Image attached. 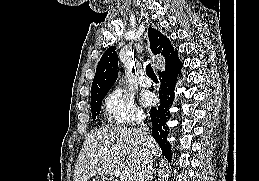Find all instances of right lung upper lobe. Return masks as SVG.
I'll list each match as a JSON object with an SVG mask.
<instances>
[{"label": "right lung upper lobe", "instance_id": "obj_1", "mask_svg": "<svg viewBox=\"0 0 259 181\" xmlns=\"http://www.w3.org/2000/svg\"><path fill=\"white\" fill-rule=\"evenodd\" d=\"M148 37L152 52L155 55H163L165 57V61L177 53V51L174 50V47L171 45L169 39L160 31L150 27L148 29ZM115 50L116 47H110L101 57L92 83L91 98L103 93H107L115 83L118 77V57Z\"/></svg>", "mask_w": 259, "mask_h": 181}]
</instances>
